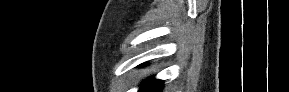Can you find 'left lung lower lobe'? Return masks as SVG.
<instances>
[{
	"label": "left lung lower lobe",
	"instance_id": "obj_1",
	"mask_svg": "<svg viewBox=\"0 0 289 92\" xmlns=\"http://www.w3.org/2000/svg\"><path fill=\"white\" fill-rule=\"evenodd\" d=\"M163 81L149 79L141 85L140 92H159L162 90Z\"/></svg>",
	"mask_w": 289,
	"mask_h": 92
}]
</instances>
